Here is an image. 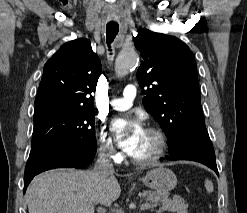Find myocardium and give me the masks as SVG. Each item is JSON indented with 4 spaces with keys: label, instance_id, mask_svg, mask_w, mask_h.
I'll return each instance as SVG.
<instances>
[{
    "label": "myocardium",
    "instance_id": "f54148a6",
    "mask_svg": "<svg viewBox=\"0 0 247 213\" xmlns=\"http://www.w3.org/2000/svg\"><path fill=\"white\" fill-rule=\"evenodd\" d=\"M146 132H149L156 136L158 140V147L154 155L151 156L150 158L138 159L135 158L134 156H131L132 162L140 166H152L159 163L162 160V158L165 156L166 151L168 149L167 136L163 130L157 127H149L146 129Z\"/></svg>",
    "mask_w": 247,
    "mask_h": 213
}]
</instances>
